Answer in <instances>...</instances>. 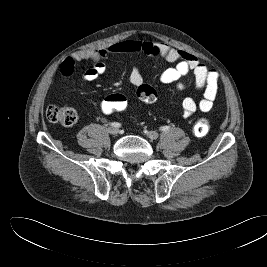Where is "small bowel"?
<instances>
[{"mask_svg": "<svg viewBox=\"0 0 267 267\" xmlns=\"http://www.w3.org/2000/svg\"><path fill=\"white\" fill-rule=\"evenodd\" d=\"M118 54L159 56L168 62H175L174 67L167 68L160 74L159 80L163 84L173 85L177 90H184L188 83L183 81L182 78L192 74L195 88L203 93L202 98L198 102L192 97H186L183 100L182 117L187 119L197 110L201 112L212 110L218 92V72L213 68L205 66L195 56L185 51L172 48L161 41L127 39L105 48L79 51L62 61L60 74L62 77L68 78L73 74L77 61L89 60L92 62V65L83 72L82 78L85 81H94L107 70L104 59ZM143 81L144 78L140 69L134 67L130 74V82L135 86H140Z\"/></svg>", "mask_w": 267, "mask_h": 267, "instance_id": "small-bowel-1", "label": "small bowel"}]
</instances>
